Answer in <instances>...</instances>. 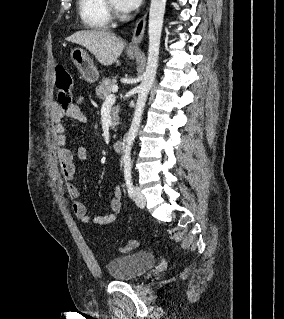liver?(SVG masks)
Masks as SVG:
<instances>
[{
    "label": "liver",
    "mask_w": 284,
    "mask_h": 319,
    "mask_svg": "<svg viewBox=\"0 0 284 319\" xmlns=\"http://www.w3.org/2000/svg\"><path fill=\"white\" fill-rule=\"evenodd\" d=\"M88 49L104 66L112 65L121 55L124 42L107 30H82L66 38Z\"/></svg>",
    "instance_id": "liver-1"
}]
</instances>
